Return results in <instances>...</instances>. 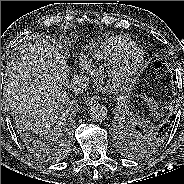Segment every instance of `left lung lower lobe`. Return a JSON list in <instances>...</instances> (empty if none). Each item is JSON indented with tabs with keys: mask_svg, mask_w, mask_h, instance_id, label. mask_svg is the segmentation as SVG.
<instances>
[{
	"mask_svg": "<svg viewBox=\"0 0 184 184\" xmlns=\"http://www.w3.org/2000/svg\"><path fill=\"white\" fill-rule=\"evenodd\" d=\"M173 78H174V81H176V76H173ZM170 118H171V121L170 122H167V123L161 125L158 128H154L151 131L152 132L154 131L158 136H160L162 138H166L167 135L170 133L171 123H172V120L174 119V115L172 117H170ZM133 133H134V130H133ZM129 135H130V132H129ZM131 137H132V140L135 142L136 146H138L137 145L138 143L134 140V134H132Z\"/></svg>",
	"mask_w": 184,
	"mask_h": 184,
	"instance_id": "obj_1",
	"label": "left lung lower lobe"
}]
</instances>
